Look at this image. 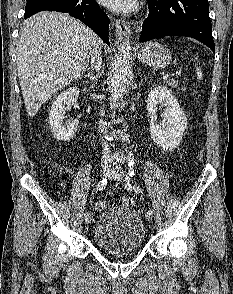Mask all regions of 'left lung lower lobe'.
<instances>
[{"mask_svg":"<svg viewBox=\"0 0 233 294\" xmlns=\"http://www.w3.org/2000/svg\"><path fill=\"white\" fill-rule=\"evenodd\" d=\"M139 42L164 36L192 37L215 52L207 0H148Z\"/></svg>","mask_w":233,"mask_h":294,"instance_id":"obj_1","label":"left lung lower lobe"}]
</instances>
